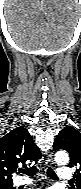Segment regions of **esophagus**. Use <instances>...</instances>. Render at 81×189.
<instances>
[{
	"label": "esophagus",
	"mask_w": 81,
	"mask_h": 189,
	"mask_svg": "<svg viewBox=\"0 0 81 189\" xmlns=\"http://www.w3.org/2000/svg\"><path fill=\"white\" fill-rule=\"evenodd\" d=\"M55 162L53 161V158L51 156H48L46 167L55 168Z\"/></svg>",
	"instance_id": "34e87169"
}]
</instances>
